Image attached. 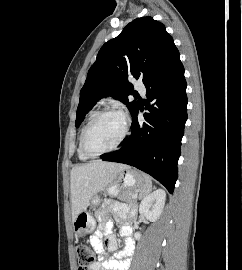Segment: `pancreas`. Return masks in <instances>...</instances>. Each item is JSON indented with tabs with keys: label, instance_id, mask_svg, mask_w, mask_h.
<instances>
[{
	"label": "pancreas",
	"instance_id": "cf45deb5",
	"mask_svg": "<svg viewBox=\"0 0 242 270\" xmlns=\"http://www.w3.org/2000/svg\"><path fill=\"white\" fill-rule=\"evenodd\" d=\"M136 193L135 192H129V191H125L122 194V199L124 201H126L127 203H129L130 205H134L136 206Z\"/></svg>",
	"mask_w": 242,
	"mask_h": 270
}]
</instances>
